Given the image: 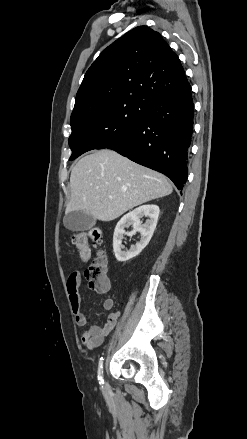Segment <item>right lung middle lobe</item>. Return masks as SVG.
<instances>
[{"instance_id":"obj_1","label":"right lung middle lobe","mask_w":247,"mask_h":439,"mask_svg":"<svg viewBox=\"0 0 247 439\" xmlns=\"http://www.w3.org/2000/svg\"><path fill=\"white\" fill-rule=\"evenodd\" d=\"M148 106L129 100L108 102L71 116L70 160L119 141L144 117Z\"/></svg>"}]
</instances>
